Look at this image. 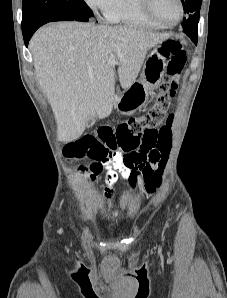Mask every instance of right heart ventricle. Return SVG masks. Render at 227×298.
<instances>
[{
	"mask_svg": "<svg viewBox=\"0 0 227 298\" xmlns=\"http://www.w3.org/2000/svg\"><path fill=\"white\" fill-rule=\"evenodd\" d=\"M104 15L109 22L124 26L147 29L161 28L145 16L140 0H114Z\"/></svg>",
	"mask_w": 227,
	"mask_h": 298,
	"instance_id": "1",
	"label": "right heart ventricle"
}]
</instances>
